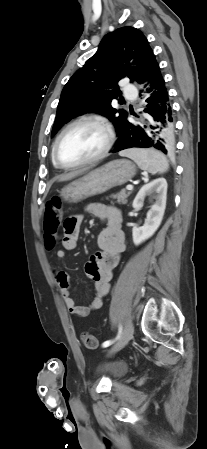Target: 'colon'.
Here are the masks:
<instances>
[{"mask_svg":"<svg viewBox=\"0 0 207 449\" xmlns=\"http://www.w3.org/2000/svg\"><path fill=\"white\" fill-rule=\"evenodd\" d=\"M61 202L58 197H53L46 203V211L43 223L44 239L48 247H53L57 242V233L61 224ZM82 341L87 348L95 349L98 341L95 336L83 333Z\"/></svg>","mask_w":207,"mask_h":449,"instance_id":"colon-1","label":"colon"}]
</instances>
